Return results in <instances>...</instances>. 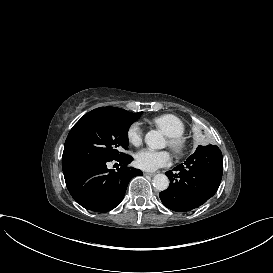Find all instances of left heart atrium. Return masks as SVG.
Listing matches in <instances>:
<instances>
[{"label": "left heart atrium", "instance_id": "1", "mask_svg": "<svg viewBox=\"0 0 273 273\" xmlns=\"http://www.w3.org/2000/svg\"><path fill=\"white\" fill-rule=\"evenodd\" d=\"M171 159V153L167 150H155L146 147L137 153L136 163L143 170L153 171L159 167L169 165Z\"/></svg>", "mask_w": 273, "mask_h": 273}]
</instances>
